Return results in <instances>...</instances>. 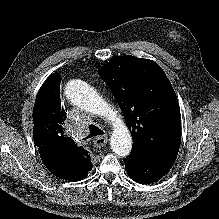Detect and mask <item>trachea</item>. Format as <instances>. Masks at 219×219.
<instances>
[{"instance_id": "obj_1", "label": "trachea", "mask_w": 219, "mask_h": 219, "mask_svg": "<svg viewBox=\"0 0 219 219\" xmlns=\"http://www.w3.org/2000/svg\"><path fill=\"white\" fill-rule=\"evenodd\" d=\"M89 131H90V133L86 137V139L97 136V135H103L104 134V132L99 127H97L93 124L89 126Z\"/></svg>"}]
</instances>
